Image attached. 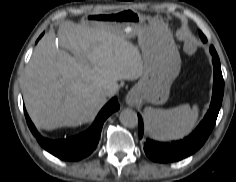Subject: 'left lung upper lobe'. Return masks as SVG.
Listing matches in <instances>:
<instances>
[{
  "label": "left lung upper lobe",
  "instance_id": "5c2ea615",
  "mask_svg": "<svg viewBox=\"0 0 236 182\" xmlns=\"http://www.w3.org/2000/svg\"><path fill=\"white\" fill-rule=\"evenodd\" d=\"M200 37H201V39H202L203 42H206V41H207V40H206V37L203 35L202 32H200ZM210 52H211V54H212V56H213V58H212L213 64H214V65H220L219 57H218L217 52H216V50L214 49L213 46L210 47Z\"/></svg>",
  "mask_w": 236,
  "mask_h": 182
}]
</instances>
